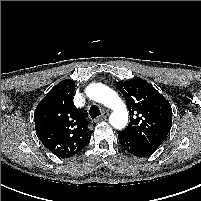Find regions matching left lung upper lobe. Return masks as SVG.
<instances>
[{
  "instance_id": "5c2ea615",
  "label": "left lung upper lobe",
  "mask_w": 201,
  "mask_h": 201,
  "mask_svg": "<svg viewBox=\"0 0 201 201\" xmlns=\"http://www.w3.org/2000/svg\"><path fill=\"white\" fill-rule=\"evenodd\" d=\"M116 87L124 95L130 114V123L122 132L156 151L171 129L169 101L143 79L117 82Z\"/></svg>"
}]
</instances>
